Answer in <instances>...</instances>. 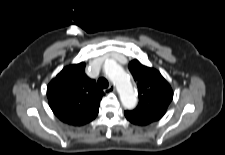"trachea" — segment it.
Listing matches in <instances>:
<instances>
[{"label":"trachea","mask_w":225,"mask_h":155,"mask_svg":"<svg viewBox=\"0 0 225 155\" xmlns=\"http://www.w3.org/2000/svg\"><path fill=\"white\" fill-rule=\"evenodd\" d=\"M97 86L99 89H105L109 86V83L105 78L101 77L97 81Z\"/></svg>","instance_id":"trachea-1"}]
</instances>
